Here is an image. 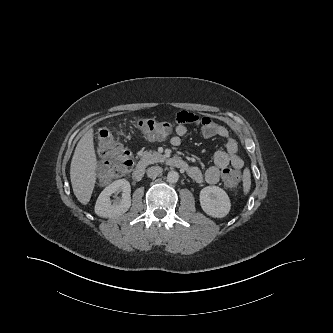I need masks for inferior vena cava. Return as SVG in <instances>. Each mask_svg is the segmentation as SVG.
I'll list each match as a JSON object with an SVG mask.
<instances>
[{
    "instance_id": "obj_1",
    "label": "inferior vena cava",
    "mask_w": 333,
    "mask_h": 333,
    "mask_svg": "<svg viewBox=\"0 0 333 333\" xmlns=\"http://www.w3.org/2000/svg\"><path fill=\"white\" fill-rule=\"evenodd\" d=\"M163 169L160 166H152L147 169V176L150 178H156L160 173H162Z\"/></svg>"
}]
</instances>
